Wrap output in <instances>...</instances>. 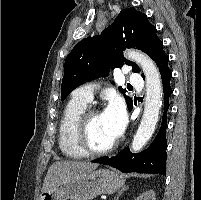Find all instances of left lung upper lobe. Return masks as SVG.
<instances>
[{
    "label": "left lung upper lobe",
    "mask_w": 201,
    "mask_h": 200,
    "mask_svg": "<svg viewBox=\"0 0 201 200\" xmlns=\"http://www.w3.org/2000/svg\"><path fill=\"white\" fill-rule=\"evenodd\" d=\"M126 48L140 49L155 62L165 53L155 26L148 21L145 14L133 7L121 10L115 21L99 36L83 39L68 54L61 85V100L79 85L108 76L109 69L127 64L132 66L133 72H140L135 63L123 57V50ZM119 90L123 94L126 92L121 87ZM125 98L130 110L133 101L128 96Z\"/></svg>",
    "instance_id": "5c2ea615"
}]
</instances>
